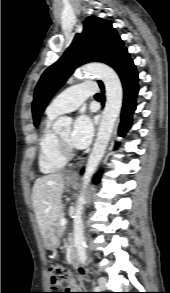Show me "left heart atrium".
Returning <instances> with one entry per match:
<instances>
[{
    "label": "left heart atrium",
    "mask_w": 170,
    "mask_h": 293,
    "mask_svg": "<svg viewBox=\"0 0 170 293\" xmlns=\"http://www.w3.org/2000/svg\"><path fill=\"white\" fill-rule=\"evenodd\" d=\"M93 132L94 128L90 117L81 115L74 121L69 143L75 148H85L90 143Z\"/></svg>",
    "instance_id": "obj_1"
}]
</instances>
